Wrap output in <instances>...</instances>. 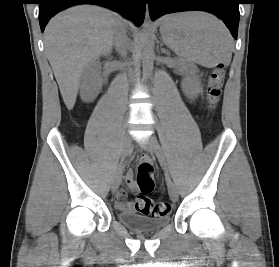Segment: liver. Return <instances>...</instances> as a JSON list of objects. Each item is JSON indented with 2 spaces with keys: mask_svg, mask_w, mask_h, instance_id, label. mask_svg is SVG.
<instances>
[{
  "mask_svg": "<svg viewBox=\"0 0 279 267\" xmlns=\"http://www.w3.org/2000/svg\"><path fill=\"white\" fill-rule=\"evenodd\" d=\"M124 23L117 13L95 5H78L56 16L44 31L47 58L66 107L71 110L85 68L100 54L110 53L116 28Z\"/></svg>",
  "mask_w": 279,
  "mask_h": 267,
  "instance_id": "6515ba94",
  "label": "liver"
}]
</instances>
